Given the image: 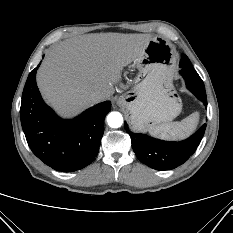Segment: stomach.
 Here are the masks:
<instances>
[{"label": "stomach", "instance_id": "1", "mask_svg": "<svg viewBox=\"0 0 233 233\" xmlns=\"http://www.w3.org/2000/svg\"><path fill=\"white\" fill-rule=\"evenodd\" d=\"M176 60L173 46L164 38L154 37L134 61V85L119 99L130 114L133 129L168 123L180 114L182 102L172 84Z\"/></svg>", "mask_w": 233, "mask_h": 233}]
</instances>
